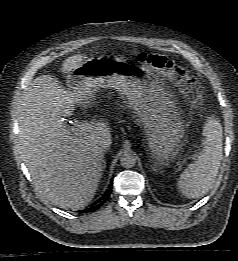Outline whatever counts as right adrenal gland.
<instances>
[{
    "instance_id": "right-adrenal-gland-1",
    "label": "right adrenal gland",
    "mask_w": 238,
    "mask_h": 261,
    "mask_svg": "<svg viewBox=\"0 0 238 261\" xmlns=\"http://www.w3.org/2000/svg\"><path fill=\"white\" fill-rule=\"evenodd\" d=\"M105 168H106V161H105L104 155H102V171H104Z\"/></svg>"
}]
</instances>
